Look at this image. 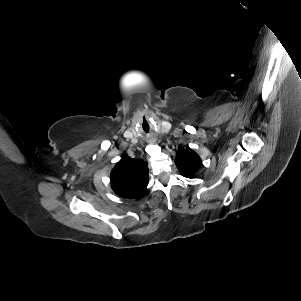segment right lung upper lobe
<instances>
[{"label":"right lung upper lobe","instance_id":"right-lung-upper-lobe-1","mask_svg":"<svg viewBox=\"0 0 301 301\" xmlns=\"http://www.w3.org/2000/svg\"><path fill=\"white\" fill-rule=\"evenodd\" d=\"M112 190L122 198L141 196L148 185L147 162L127 156L121 157L111 172Z\"/></svg>","mask_w":301,"mask_h":301}]
</instances>
